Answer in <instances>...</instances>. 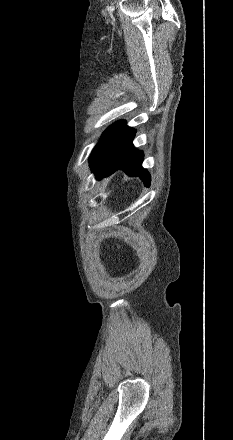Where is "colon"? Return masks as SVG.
Listing matches in <instances>:
<instances>
[{
    "instance_id": "1",
    "label": "colon",
    "mask_w": 233,
    "mask_h": 440,
    "mask_svg": "<svg viewBox=\"0 0 233 440\" xmlns=\"http://www.w3.org/2000/svg\"><path fill=\"white\" fill-rule=\"evenodd\" d=\"M118 248L120 249L121 252L123 251L121 245H119V244H118Z\"/></svg>"
}]
</instances>
